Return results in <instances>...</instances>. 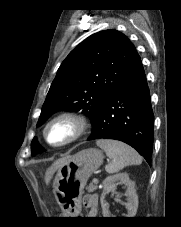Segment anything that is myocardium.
Segmentation results:
<instances>
[{
	"label": "myocardium",
	"instance_id": "myocardium-1",
	"mask_svg": "<svg viewBox=\"0 0 181 227\" xmlns=\"http://www.w3.org/2000/svg\"><path fill=\"white\" fill-rule=\"evenodd\" d=\"M61 121H65V122L69 123L73 127V132L63 142L58 143V144L51 143L48 140V130L50 129V127L52 125H54L55 123L61 122ZM88 127H89V123H88V120L85 115L78 113V112H74V111H64V112H61V113L55 115L54 117H52L45 124L43 131H42V135H43V139L46 142V144H48L51 147L61 148V147L67 146V145L79 140L81 137H83L86 134Z\"/></svg>",
	"mask_w": 181,
	"mask_h": 227
}]
</instances>
